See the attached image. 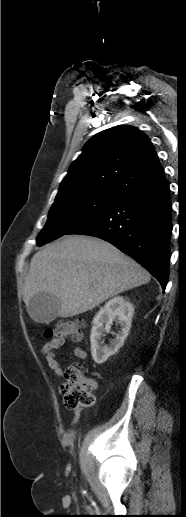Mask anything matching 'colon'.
<instances>
[{"instance_id":"colon-1","label":"colon","mask_w":186,"mask_h":517,"mask_svg":"<svg viewBox=\"0 0 186 517\" xmlns=\"http://www.w3.org/2000/svg\"><path fill=\"white\" fill-rule=\"evenodd\" d=\"M46 338H72L82 339L81 323L76 321H61L47 328L44 332ZM95 383L84 376L80 364L69 365L64 372V379L60 386L66 407L74 409L91 406L94 401Z\"/></svg>"}]
</instances>
